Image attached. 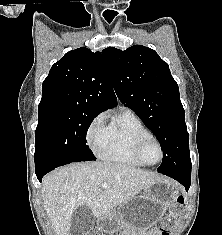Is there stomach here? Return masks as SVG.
Returning <instances> with one entry per match:
<instances>
[{
    "instance_id": "0dacf381",
    "label": "stomach",
    "mask_w": 222,
    "mask_h": 235,
    "mask_svg": "<svg viewBox=\"0 0 222 235\" xmlns=\"http://www.w3.org/2000/svg\"><path fill=\"white\" fill-rule=\"evenodd\" d=\"M178 196L177 184L165 179L156 181L117 210L102 215L98 227L109 235H148Z\"/></svg>"
}]
</instances>
